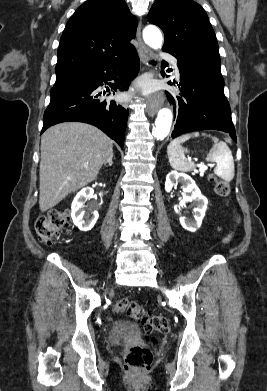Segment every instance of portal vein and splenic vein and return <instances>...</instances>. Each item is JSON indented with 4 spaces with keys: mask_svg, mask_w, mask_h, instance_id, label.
Masks as SVG:
<instances>
[{
    "mask_svg": "<svg viewBox=\"0 0 267 391\" xmlns=\"http://www.w3.org/2000/svg\"><path fill=\"white\" fill-rule=\"evenodd\" d=\"M197 161V159H195ZM209 166H213L212 164H209Z\"/></svg>",
    "mask_w": 267,
    "mask_h": 391,
    "instance_id": "obj_1",
    "label": "portal vein and splenic vein"
}]
</instances>
